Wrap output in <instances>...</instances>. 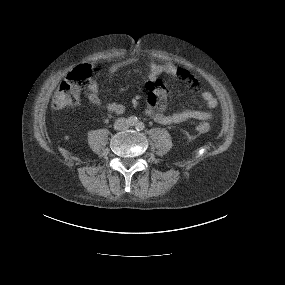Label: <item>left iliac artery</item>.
<instances>
[{"mask_svg":"<svg viewBox=\"0 0 285 285\" xmlns=\"http://www.w3.org/2000/svg\"><path fill=\"white\" fill-rule=\"evenodd\" d=\"M144 128H145V125H144L143 122H137V123H136V129H137L138 131L143 130Z\"/></svg>","mask_w":285,"mask_h":285,"instance_id":"left-iliac-artery-1","label":"left iliac artery"}]
</instances>
